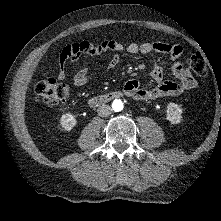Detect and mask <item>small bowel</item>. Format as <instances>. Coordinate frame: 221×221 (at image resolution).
Here are the masks:
<instances>
[{
	"instance_id": "c3829d8e",
	"label": "small bowel",
	"mask_w": 221,
	"mask_h": 221,
	"mask_svg": "<svg viewBox=\"0 0 221 221\" xmlns=\"http://www.w3.org/2000/svg\"><path fill=\"white\" fill-rule=\"evenodd\" d=\"M65 50H69L71 52L76 51L79 56H99L106 52H111L112 56L108 62L109 68H115L119 64L120 53L124 51H127L130 54H148L151 52L168 54L173 62L171 69L176 80H164L162 68L156 62H152L150 64V75L156 82V86L154 88L144 89L141 87L139 81L135 79L127 81L124 85L125 93L135 100L148 101L162 97L176 96L194 89L197 85L196 80L193 78L188 68L179 61L183 49L178 44L156 41L143 43L133 42L125 46L121 42L115 40H106L101 43L82 41L78 44L65 47L63 51ZM60 59L61 62L66 61L63 58L62 53L60 55ZM63 77V72H60L59 78L62 79ZM90 78V68L84 67L75 73L73 81L76 86H84L89 82Z\"/></svg>"
}]
</instances>
